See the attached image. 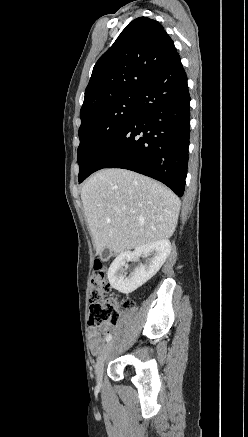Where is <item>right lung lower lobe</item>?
<instances>
[{
    "label": "right lung lower lobe",
    "instance_id": "98d812e1",
    "mask_svg": "<svg viewBox=\"0 0 248 437\" xmlns=\"http://www.w3.org/2000/svg\"><path fill=\"white\" fill-rule=\"evenodd\" d=\"M189 109L187 76L177 55L139 91L131 117L79 182L102 168H125L161 181L181 197L188 165Z\"/></svg>",
    "mask_w": 248,
    "mask_h": 437
}]
</instances>
